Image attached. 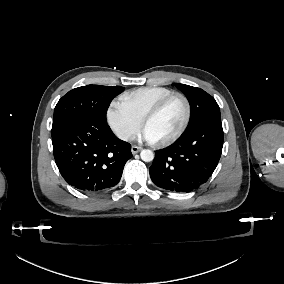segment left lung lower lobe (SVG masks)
Listing matches in <instances>:
<instances>
[{
	"mask_svg": "<svg viewBox=\"0 0 284 284\" xmlns=\"http://www.w3.org/2000/svg\"><path fill=\"white\" fill-rule=\"evenodd\" d=\"M223 147L221 120H207L188 127L171 146L156 151L149 168L152 181L173 192H191L215 170Z\"/></svg>",
	"mask_w": 284,
	"mask_h": 284,
	"instance_id": "1",
	"label": "left lung lower lobe"
}]
</instances>
